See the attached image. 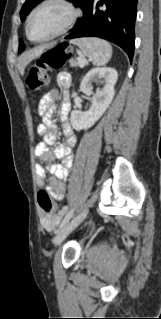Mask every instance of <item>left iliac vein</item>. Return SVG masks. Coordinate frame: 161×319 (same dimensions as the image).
<instances>
[{
	"instance_id": "left-iliac-vein-1",
	"label": "left iliac vein",
	"mask_w": 161,
	"mask_h": 319,
	"mask_svg": "<svg viewBox=\"0 0 161 319\" xmlns=\"http://www.w3.org/2000/svg\"><path fill=\"white\" fill-rule=\"evenodd\" d=\"M87 213L88 210L86 209L61 228L54 238V244H60L85 219Z\"/></svg>"
}]
</instances>
